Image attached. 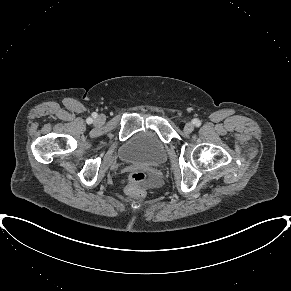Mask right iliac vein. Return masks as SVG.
Returning a JSON list of instances; mask_svg holds the SVG:
<instances>
[{"instance_id":"obj_1","label":"right iliac vein","mask_w":291,"mask_h":291,"mask_svg":"<svg viewBox=\"0 0 291 291\" xmlns=\"http://www.w3.org/2000/svg\"><path fill=\"white\" fill-rule=\"evenodd\" d=\"M95 122L97 124H102L104 122V118L102 116L97 117V119L95 120Z\"/></svg>"}]
</instances>
